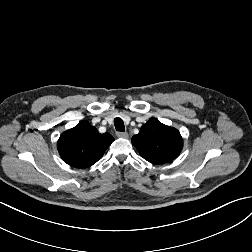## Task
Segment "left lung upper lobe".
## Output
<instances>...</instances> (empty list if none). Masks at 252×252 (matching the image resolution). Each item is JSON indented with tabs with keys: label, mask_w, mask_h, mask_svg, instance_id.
Instances as JSON below:
<instances>
[{
	"label": "left lung upper lobe",
	"mask_w": 252,
	"mask_h": 252,
	"mask_svg": "<svg viewBox=\"0 0 252 252\" xmlns=\"http://www.w3.org/2000/svg\"><path fill=\"white\" fill-rule=\"evenodd\" d=\"M140 155L153 164H163L175 159L181 152L183 141L179 131L151 118L140 132L132 137Z\"/></svg>",
	"instance_id": "obj_1"
}]
</instances>
